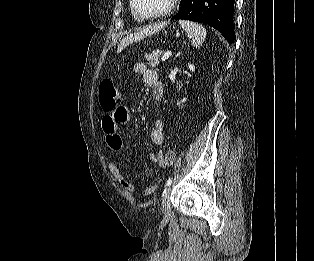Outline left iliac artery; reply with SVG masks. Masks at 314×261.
Returning <instances> with one entry per match:
<instances>
[{
    "label": "left iliac artery",
    "instance_id": "obj_1",
    "mask_svg": "<svg viewBox=\"0 0 314 261\" xmlns=\"http://www.w3.org/2000/svg\"><path fill=\"white\" fill-rule=\"evenodd\" d=\"M172 178H169L168 180H167V182H166V187H169L171 184H172Z\"/></svg>",
    "mask_w": 314,
    "mask_h": 261
}]
</instances>
